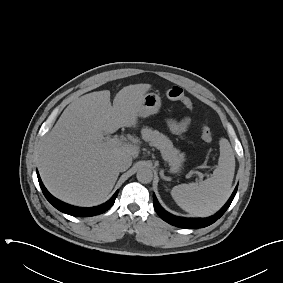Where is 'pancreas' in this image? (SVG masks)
I'll use <instances>...</instances> for the list:
<instances>
[{"label": "pancreas", "instance_id": "obj_1", "mask_svg": "<svg viewBox=\"0 0 283 283\" xmlns=\"http://www.w3.org/2000/svg\"><path fill=\"white\" fill-rule=\"evenodd\" d=\"M141 134L145 141L161 151L163 159L167 161L173 169L178 167L183 161L184 155L180 154L179 150L173 147L171 140L159 131L145 127L142 129Z\"/></svg>", "mask_w": 283, "mask_h": 283}]
</instances>
